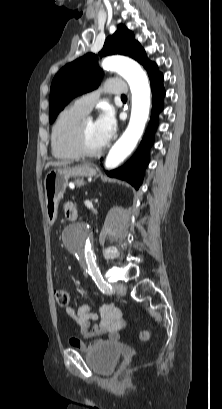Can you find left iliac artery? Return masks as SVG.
Masks as SVG:
<instances>
[{
	"instance_id": "1",
	"label": "left iliac artery",
	"mask_w": 222,
	"mask_h": 409,
	"mask_svg": "<svg viewBox=\"0 0 222 409\" xmlns=\"http://www.w3.org/2000/svg\"><path fill=\"white\" fill-rule=\"evenodd\" d=\"M90 275L92 276V278L95 281L97 287L100 289V291L102 293H104V294H112L113 293L112 286L103 279L99 268L90 270Z\"/></svg>"
}]
</instances>
